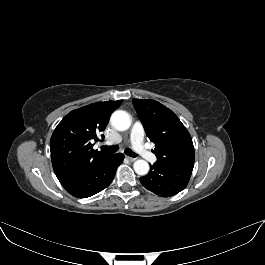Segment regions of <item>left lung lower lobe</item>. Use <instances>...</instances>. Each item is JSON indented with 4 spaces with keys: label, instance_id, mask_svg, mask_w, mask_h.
<instances>
[{
    "label": "left lung lower lobe",
    "instance_id": "obj_1",
    "mask_svg": "<svg viewBox=\"0 0 265 265\" xmlns=\"http://www.w3.org/2000/svg\"><path fill=\"white\" fill-rule=\"evenodd\" d=\"M194 164H159L150 166L148 175L141 177L142 185L153 193L170 197L188 184Z\"/></svg>",
    "mask_w": 265,
    "mask_h": 265
}]
</instances>
